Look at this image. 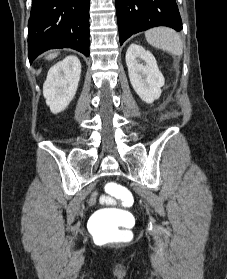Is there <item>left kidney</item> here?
Here are the masks:
<instances>
[{
    "mask_svg": "<svg viewBox=\"0 0 227 279\" xmlns=\"http://www.w3.org/2000/svg\"><path fill=\"white\" fill-rule=\"evenodd\" d=\"M126 65L131 85L139 97L148 104L157 100L165 80L152 53L133 43L126 52Z\"/></svg>",
    "mask_w": 227,
    "mask_h": 279,
    "instance_id": "left-kidney-1",
    "label": "left kidney"
}]
</instances>
